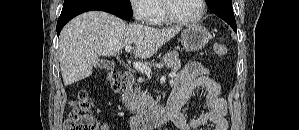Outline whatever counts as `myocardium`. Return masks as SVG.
I'll return each mask as SVG.
<instances>
[{
  "instance_id": "obj_1",
  "label": "myocardium",
  "mask_w": 299,
  "mask_h": 130,
  "mask_svg": "<svg viewBox=\"0 0 299 130\" xmlns=\"http://www.w3.org/2000/svg\"><path fill=\"white\" fill-rule=\"evenodd\" d=\"M172 0H163L162 1V7H163V13L167 21L175 24H180V25H191L199 22L202 17L205 14L206 11V6H205V0H198L199 4V12L191 17V18H179L171 14L169 10V3Z\"/></svg>"
}]
</instances>
